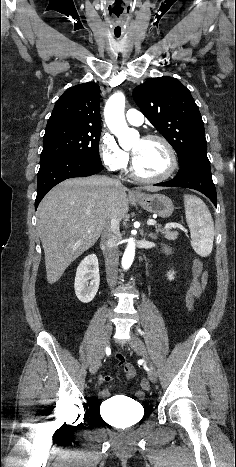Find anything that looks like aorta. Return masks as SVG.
<instances>
[{
    "instance_id": "1",
    "label": "aorta",
    "mask_w": 236,
    "mask_h": 467,
    "mask_svg": "<svg viewBox=\"0 0 236 467\" xmlns=\"http://www.w3.org/2000/svg\"><path fill=\"white\" fill-rule=\"evenodd\" d=\"M125 95L122 92H116L110 96L104 108L105 122L109 130L115 134L119 143L123 146L124 141L129 138L130 129L125 120ZM127 247L122 257V267L128 269L135 256V240L129 238Z\"/></svg>"
}]
</instances>
